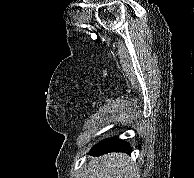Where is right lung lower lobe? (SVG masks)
Here are the masks:
<instances>
[{
  "label": "right lung lower lobe",
  "instance_id": "98d812e1",
  "mask_svg": "<svg viewBox=\"0 0 194 178\" xmlns=\"http://www.w3.org/2000/svg\"><path fill=\"white\" fill-rule=\"evenodd\" d=\"M131 153L132 147L128 142L113 137L100 141L97 145H94L91 149V154L100 156L109 152H124Z\"/></svg>",
  "mask_w": 194,
  "mask_h": 178
}]
</instances>
